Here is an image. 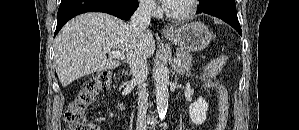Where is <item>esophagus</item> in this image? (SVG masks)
<instances>
[{"mask_svg": "<svg viewBox=\"0 0 299 130\" xmlns=\"http://www.w3.org/2000/svg\"><path fill=\"white\" fill-rule=\"evenodd\" d=\"M162 32H163L164 34H171V33H173V27H172L171 25H166V26L163 28Z\"/></svg>", "mask_w": 299, "mask_h": 130, "instance_id": "1", "label": "esophagus"}]
</instances>
